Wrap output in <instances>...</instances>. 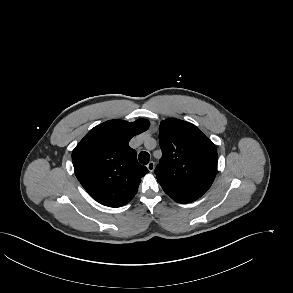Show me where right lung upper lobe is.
<instances>
[{"mask_svg":"<svg viewBox=\"0 0 293 293\" xmlns=\"http://www.w3.org/2000/svg\"><path fill=\"white\" fill-rule=\"evenodd\" d=\"M149 125L146 119L109 120L91 129L73 150L75 175L97 202L121 207L133 199L149 171L138 163L129 141Z\"/></svg>","mask_w":293,"mask_h":293,"instance_id":"cb5924a9","label":"right lung upper lobe"}]
</instances>
